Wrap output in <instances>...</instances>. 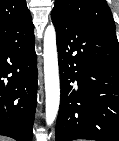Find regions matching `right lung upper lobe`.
I'll return each instance as SVG.
<instances>
[{"label":"right lung upper lobe","mask_w":119,"mask_h":141,"mask_svg":"<svg viewBox=\"0 0 119 141\" xmlns=\"http://www.w3.org/2000/svg\"><path fill=\"white\" fill-rule=\"evenodd\" d=\"M31 18L25 0H0V27Z\"/></svg>","instance_id":"cb5924a9"}]
</instances>
